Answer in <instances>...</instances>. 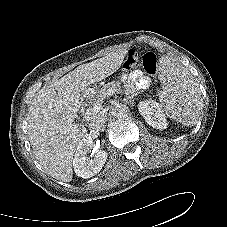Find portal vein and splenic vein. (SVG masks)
Segmentation results:
<instances>
[{
	"label": "portal vein and splenic vein",
	"mask_w": 227,
	"mask_h": 227,
	"mask_svg": "<svg viewBox=\"0 0 227 227\" xmlns=\"http://www.w3.org/2000/svg\"><path fill=\"white\" fill-rule=\"evenodd\" d=\"M111 95V91L108 92L107 96ZM101 109V104L100 102H96L92 107L88 108L86 115L89 116L93 113L98 112Z\"/></svg>",
	"instance_id": "1"
}]
</instances>
